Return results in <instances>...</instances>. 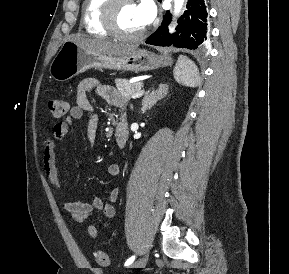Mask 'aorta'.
<instances>
[{"label": "aorta", "mask_w": 289, "mask_h": 274, "mask_svg": "<svg viewBox=\"0 0 289 274\" xmlns=\"http://www.w3.org/2000/svg\"><path fill=\"white\" fill-rule=\"evenodd\" d=\"M183 4L184 0H174V12L176 15L180 13Z\"/></svg>", "instance_id": "aorta-1"}]
</instances>
